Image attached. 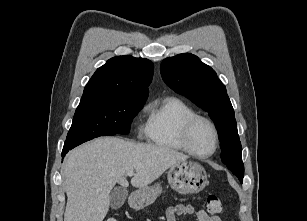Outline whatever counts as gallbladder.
I'll return each mask as SVG.
<instances>
[{
  "label": "gallbladder",
  "instance_id": "1",
  "mask_svg": "<svg viewBox=\"0 0 307 221\" xmlns=\"http://www.w3.org/2000/svg\"><path fill=\"white\" fill-rule=\"evenodd\" d=\"M128 195V191L124 187H116L114 188L111 193H110V206L113 209H118L120 208Z\"/></svg>",
  "mask_w": 307,
  "mask_h": 221
}]
</instances>
